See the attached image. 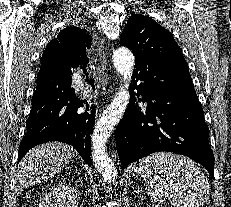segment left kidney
I'll return each mask as SVG.
<instances>
[{"label":"left kidney","instance_id":"obj_1","mask_svg":"<svg viewBox=\"0 0 231 207\" xmlns=\"http://www.w3.org/2000/svg\"><path fill=\"white\" fill-rule=\"evenodd\" d=\"M155 207H160L159 205H156ZM162 207V206H161Z\"/></svg>","mask_w":231,"mask_h":207}]
</instances>
